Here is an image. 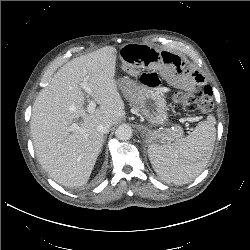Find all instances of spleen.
<instances>
[{
  "mask_svg": "<svg viewBox=\"0 0 250 250\" xmlns=\"http://www.w3.org/2000/svg\"><path fill=\"white\" fill-rule=\"evenodd\" d=\"M215 117L209 115L194 131L172 144L152 143L148 156L157 175L167 183L183 185L195 179L207 165L216 139Z\"/></svg>",
  "mask_w": 250,
  "mask_h": 250,
  "instance_id": "spleen-1",
  "label": "spleen"
}]
</instances>
